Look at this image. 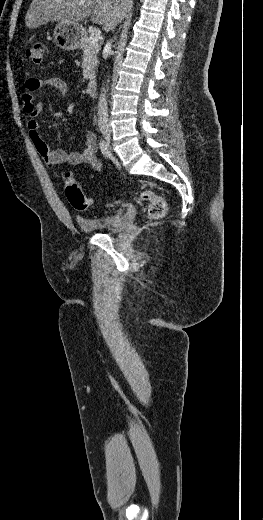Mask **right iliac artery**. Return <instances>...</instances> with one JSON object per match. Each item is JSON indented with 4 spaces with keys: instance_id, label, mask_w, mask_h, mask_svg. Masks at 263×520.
<instances>
[{
    "instance_id": "82829eb1",
    "label": "right iliac artery",
    "mask_w": 263,
    "mask_h": 520,
    "mask_svg": "<svg viewBox=\"0 0 263 520\" xmlns=\"http://www.w3.org/2000/svg\"><path fill=\"white\" fill-rule=\"evenodd\" d=\"M99 146H100V150H101L102 154H103L106 158H108V157L110 156V153H109V151H108V148H107L106 143H105L102 139L100 140Z\"/></svg>"
}]
</instances>
